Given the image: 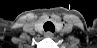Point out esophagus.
<instances>
[{"label":"esophagus","instance_id":"34e87169","mask_svg":"<svg viewBox=\"0 0 97 48\" xmlns=\"http://www.w3.org/2000/svg\"><path fill=\"white\" fill-rule=\"evenodd\" d=\"M45 37H49V38H52L53 37V33L52 32H45L44 33Z\"/></svg>","mask_w":97,"mask_h":48}]
</instances>
